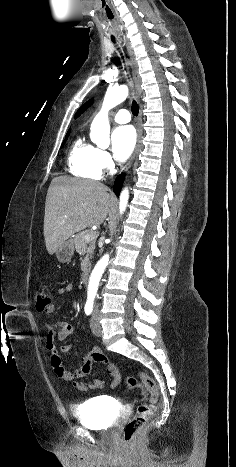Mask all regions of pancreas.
I'll return each instance as SVG.
<instances>
[{
	"label": "pancreas",
	"instance_id": "1",
	"mask_svg": "<svg viewBox=\"0 0 236 467\" xmlns=\"http://www.w3.org/2000/svg\"><path fill=\"white\" fill-rule=\"evenodd\" d=\"M91 232V230H85L76 234L73 238L76 251L83 256L85 255L84 260L81 263V270L83 272H85L90 265L89 260L92 258L95 249V238L90 241L85 240V236Z\"/></svg>",
	"mask_w": 236,
	"mask_h": 467
}]
</instances>
